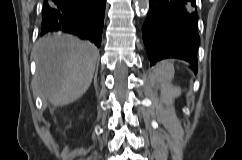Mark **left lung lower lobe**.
Instances as JSON below:
<instances>
[{"label":"left lung lower lobe","mask_w":242,"mask_h":160,"mask_svg":"<svg viewBox=\"0 0 242 160\" xmlns=\"http://www.w3.org/2000/svg\"><path fill=\"white\" fill-rule=\"evenodd\" d=\"M142 33L151 65L166 58L189 62L197 71L198 13L195 0H149Z\"/></svg>","instance_id":"left-lung-lower-lobe-1"}]
</instances>
